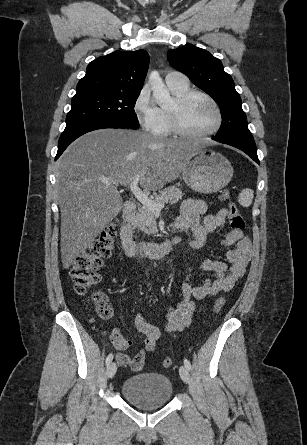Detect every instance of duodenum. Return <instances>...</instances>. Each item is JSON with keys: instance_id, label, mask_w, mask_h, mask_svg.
<instances>
[{"instance_id": "obj_1", "label": "duodenum", "mask_w": 307, "mask_h": 445, "mask_svg": "<svg viewBox=\"0 0 307 445\" xmlns=\"http://www.w3.org/2000/svg\"><path fill=\"white\" fill-rule=\"evenodd\" d=\"M135 204L126 202L122 210V223L120 227V239L126 254L134 255L143 253L152 258H161L173 249L174 241L168 238L161 243L138 242L133 237V216Z\"/></svg>"}]
</instances>
